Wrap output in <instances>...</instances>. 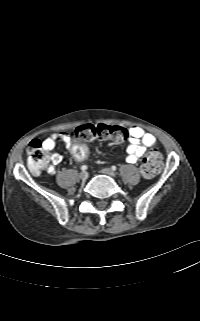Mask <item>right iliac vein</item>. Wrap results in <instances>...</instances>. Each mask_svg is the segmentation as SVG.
I'll list each match as a JSON object with an SVG mask.
<instances>
[{
	"mask_svg": "<svg viewBox=\"0 0 200 321\" xmlns=\"http://www.w3.org/2000/svg\"><path fill=\"white\" fill-rule=\"evenodd\" d=\"M81 180L85 181L88 178V173L86 171H82L79 174Z\"/></svg>",
	"mask_w": 200,
	"mask_h": 321,
	"instance_id": "63e3f726",
	"label": "right iliac vein"
}]
</instances>
